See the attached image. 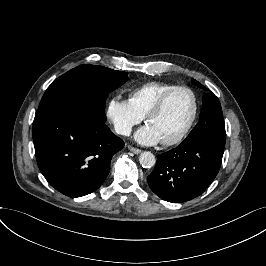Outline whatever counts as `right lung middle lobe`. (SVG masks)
<instances>
[{
	"label": "right lung middle lobe",
	"instance_id": "right-lung-middle-lobe-1",
	"mask_svg": "<svg viewBox=\"0 0 266 266\" xmlns=\"http://www.w3.org/2000/svg\"><path fill=\"white\" fill-rule=\"evenodd\" d=\"M128 74L97 65H80L57 78L48 87L39 108L47 103L70 98L90 104L106 119L105 103L108 94L128 80Z\"/></svg>",
	"mask_w": 266,
	"mask_h": 266
}]
</instances>
